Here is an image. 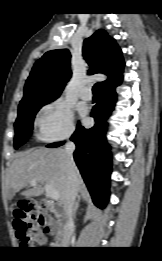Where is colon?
<instances>
[{"label": "colon", "mask_w": 162, "mask_h": 261, "mask_svg": "<svg viewBox=\"0 0 162 261\" xmlns=\"http://www.w3.org/2000/svg\"><path fill=\"white\" fill-rule=\"evenodd\" d=\"M45 221V206L28 201L14 211L13 226L21 246L33 247L43 242L40 228Z\"/></svg>", "instance_id": "obj_1"}]
</instances>
